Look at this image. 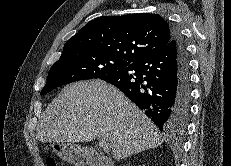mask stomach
<instances>
[{
  "label": "stomach",
  "mask_w": 231,
  "mask_h": 166,
  "mask_svg": "<svg viewBox=\"0 0 231 166\" xmlns=\"http://www.w3.org/2000/svg\"><path fill=\"white\" fill-rule=\"evenodd\" d=\"M51 148L62 160L73 164L83 165L88 156L84 148L73 143L56 142Z\"/></svg>",
  "instance_id": "obj_1"
}]
</instances>
